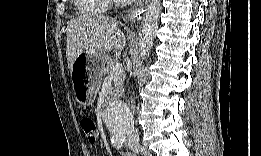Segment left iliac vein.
<instances>
[{
	"label": "left iliac vein",
	"instance_id": "obj_1",
	"mask_svg": "<svg viewBox=\"0 0 261 156\" xmlns=\"http://www.w3.org/2000/svg\"><path fill=\"white\" fill-rule=\"evenodd\" d=\"M129 148L135 153L139 152L138 148L132 143H129Z\"/></svg>",
	"mask_w": 261,
	"mask_h": 156
}]
</instances>
